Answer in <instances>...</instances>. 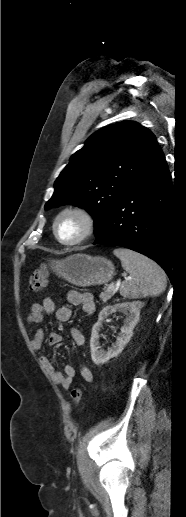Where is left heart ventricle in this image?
Wrapping results in <instances>:
<instances>
[{"instance_id":"1","label":"left heart ventricle","mask_w":186,"mask_h":517,"mask_svg":"<svg viewBox=\"0 0 186 517\" xmlns=\"http://www.w3.org/2000/svg\"><path fill=\"white\" fill-rule=\"evenodd\" d=\"M83 229V223L79 217L66 215L61 218L57 226V232L62 240L75 239Z\"/></svg>"}]
</instances>
